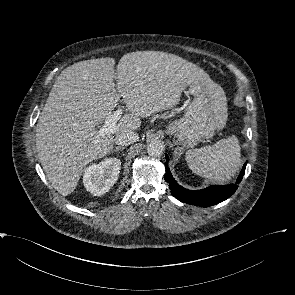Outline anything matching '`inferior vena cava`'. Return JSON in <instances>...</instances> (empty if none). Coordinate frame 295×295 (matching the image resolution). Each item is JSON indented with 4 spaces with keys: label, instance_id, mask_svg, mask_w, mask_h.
<instances>
[{
    "label": "inferior vena cava",
    "instance_id": "602c4592",
    "mask_svg": "<svg viewBox=\"0 0 295 295\" xmlns=\"http://www.w3.org/2000/svg\"><path fill=\"white\" fill-rule=\"evenodd\" d=\"M139 139L137 133L133 131H128L122 134H119L115 137L114 141L117 145H128L136 142Z\"/></svg>",
    "mask_w": 295,
    "mask_h": 295
}]
</instances>
